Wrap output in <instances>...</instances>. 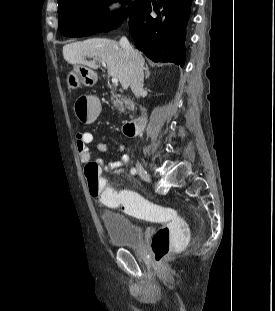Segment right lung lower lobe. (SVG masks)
<instances>
[{
	"mask_svg": "<svg viewBox=\"0 0 275 311\" xmlns=\"http://www.w3.org/2000/svg\"><path fill=\"white\" fill-rule=\"evenodd\" d=\"M162 10L150 15L151 3L143 5L129 17V30L136 47L155 62H173L183 67L186 27L192 0H158ZM92 28H82L79 36L93 35Z\"/></svg>",
	"mask_w": 275,
	"mask_h": 311,
	"instance_id": "1",
	"label": "right lung lower lobe"
}]
</instances>
